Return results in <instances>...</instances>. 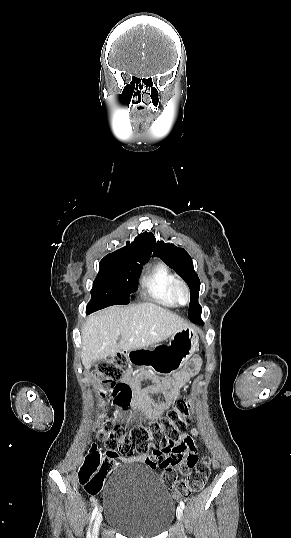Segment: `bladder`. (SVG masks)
<instances>
[{
    "label": "bladder",
    "mask_w": 291,
    "mask_h": 538,
    "mask_svg": "<svg viewBox=\"0 0 291 538\" xmlns=\"http://www.w3.org/2000/svg\"><path fill=\"white\" fill-rule=\"evenodd\" d=\"M107 523L129 538H155L174 517V500L154 472L126 464L108 479L103 493Z\"/></svg>",
    "instance_id": "1"
}]
</instances>
